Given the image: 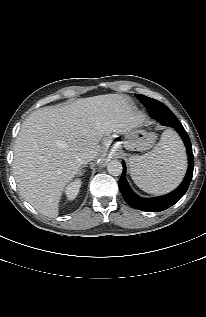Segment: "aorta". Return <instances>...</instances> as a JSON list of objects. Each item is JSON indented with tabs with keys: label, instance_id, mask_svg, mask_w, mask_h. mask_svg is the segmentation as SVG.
<instances>
[{
	"label": "aorta",
	"instance_id": "aorta-1",
	"mask_svg": "<svg viewBox=\"0 0 206 317\" xmlns=\"http://www.w3.org/2000/svg\"><path fill=\"white\" fill-rule=\"evenodd\" d=\"M107 170H108L109 174H111L113 176H119V175H121V173L123 171V167H122L121 162H119L118 160H113V161L108 163Z\"/></svg>",
	"mask_w": 206,
	"mask_h": 317
}]
</instances>
